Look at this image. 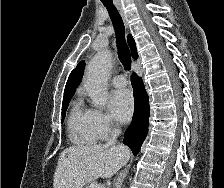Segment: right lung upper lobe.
Masks as SVG:
<instances>
[{"instance_id": "obj_1", "label": "right lung upper lobe", "mask_w": 224, "mask_h": 188, "mask_svg": "<svg viewBox=\"0 0 224 188\" xmlns=\"http://www.w3.org/2000/svg\"><path fill=\"white\" fill-rule=\"evenodd\" d=\"M127 41L130 46L133 58L137 59L138 54H137V50H136L135 41L131 35H128ZM84 67H85V62L81 61L77 65V67L71 72V74L68 78V81L66 83V86H65L63 102L68 99H71V97L73 96L76 88L79 86V84L82 80Z\"/></svg>"}]
</instances>
